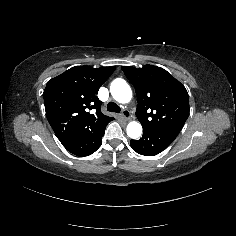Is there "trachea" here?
<instances>
[{"label":"trachea","instance_id":"trachea-1","mask_svg":"<svg viewBox=\"0 0 236 236\" xmlns=\"http://www.w3.org/2000/svg\"><path fill=\"white\" fill-rule=\"evenodd\" d=\"M107 111L109 112H115L119 113L121 111V108L114 102H109L107 104Z\"/></svg>","mask_w":236,"mask_h":236}]
</instances>
